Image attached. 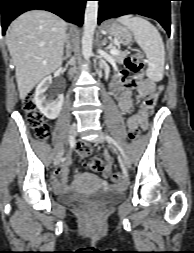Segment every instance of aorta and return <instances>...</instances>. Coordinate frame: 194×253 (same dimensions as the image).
<instances>
[{
    "label": "aorta",
    "mask_w": 194,
    "mask_h": 253,
    "mask_svg": "<svg viewBox=\"0 0 194 253\" xmlns=\"http://www.w3.org/2000/svg\"><path fill=\"white\" fill-rule=\"evenodd\" d=\"M99 2L87 1L84 15V31L82 36V55L85 60L92 56V44L97 26Z\"/></svg>",
    "instance_id": "762f6f07"
}]
</instances>
